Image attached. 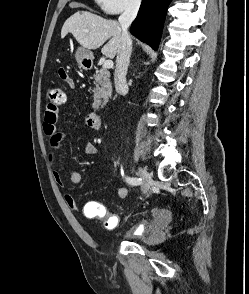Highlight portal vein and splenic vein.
<instances>
[{
	"instance_id": "portal-vein-and-splenic-vein-1",
	"label": "portal vein and splenic vein",
	"mask_w": 249,
	"mask_h": 294,
	"mask_svg": "<svg viewBox=\"0 0 249 294\" xmlns=\"http://www.w3.org/2000/svg\"><path fill=\"white\" fill-rule=\"evenodd\" d=\"M103 67L105 68H112L113 67V61L112 60H105Z\"/></svg>"
}]
</instances>
